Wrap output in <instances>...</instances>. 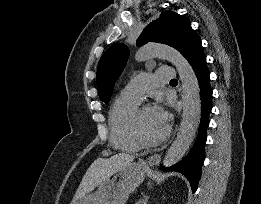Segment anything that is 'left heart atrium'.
<instances>
[{
	"mask_svg": "<svg viewBox=\"0 0 261 204\" xmlns=\"http://www.w3.org/2000/svg\"><path fill=\"white\" fill-rule=\"evenodd\" d=\"M154 112L158 118V120L163 124L167 126L168 123V113L165 109V107L160 103H156L153 106Z\"/></svg>",
	"mask_w": 261,
	"mask_h": 204,
	"instance_id": "39dd6f15",
	"label": "left heart atrium"
}]
</instances>
